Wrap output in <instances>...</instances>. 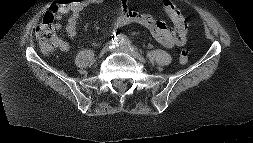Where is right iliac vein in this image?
<instances>
[{"label": "right iliac vein", "mask_w": 253, "mask_h": 143, "mask_svg": "<svg viewBox=\"0 0 253 143\" xmlns=\"http://www.w3.org/2000/svg\"><path fill=\"white\" fill-rule=\"evenodd\" d=\"M108 48L107 47H103L101 50V55H104L105 53H107Z\"/></svg>", "instance_id": "obj_1"}]
</instances>
